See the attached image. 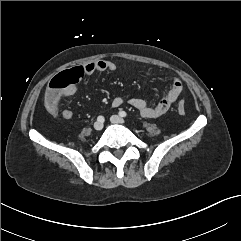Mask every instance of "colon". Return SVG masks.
Listing matches in <instances>:
<instances>
[{
    "label": "colon",
    "instance_id": "1",
    "mask_svg": "<svg viewBox=\"0 0 241 241\" xmlns=\"http://www.w3.org/2000/svg\"><path fill=\"white\" fill-rule=\"evenodd\" d=\"M86 76V69L78 64L74 69L62 72L55 76L49 83L46 91V103L53 102L62 92L73 86L77 81ZM177 110L180 114H185L186 105L183 101L179 102Z\"/></svg>",
    "mask_w": 241,
    "mask_h": 241
}]
</instances>
